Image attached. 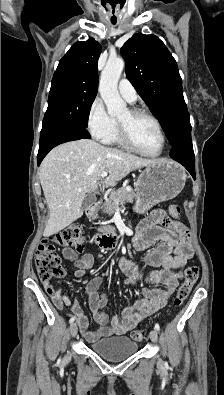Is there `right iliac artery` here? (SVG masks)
Listing matches in <instances>:
<instances>
[{"label":"right iliac artery","mask_w":224,"mask_h":395,"mask_svg":"<svg viewBox=\"0 0 224 395\" xmlns=\"http://www.w3.org/2000/svg\"><path fill=\"white\" fill-rule=\"evenodd\" d=\"M74 320H75V318H74V317H72V318L69 320V323H73V322H74Z\"/></svg>","instance_id":"right-iliac-artery-1"}]
</instances>
